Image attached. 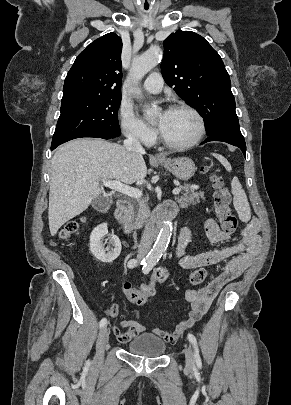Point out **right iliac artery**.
<instances>
[{
    "label": "right iliac artery",
    "instance_id": "right-iliac-artery-1",
    "mask_svg": "<svg viewBox=\"0 0 291 405\" xmlns=\"http://www.w3.org/2000/svg\"><path fill=\"white\" fill-rule=\"evenodd\" d=\"M146 263H148V261L144 259V260H142L139 264L144 266ZM137 265H138V261L135 260V259H131V260L128 262V264H127L128 268H134V267H136ZM106 324H107V320H106V318H103V319L100 321L99 326H100V328H103L104 326H106Z\"/></svg>",
    "mask_w": 291,
    "mask_h": 405
}]
</instances>
